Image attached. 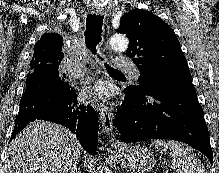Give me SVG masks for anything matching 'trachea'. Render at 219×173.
I'll return each instance as SVG.
<instances>
[{
    "instance_id": "3493384b",
    "label": "trachea",
    "mask_w": 219,
    "mask_h": 173,
    "mask_svg": "<svg viewBox=\"0 0 219 173\" xmlns=\"http://www.w3.org/2000/svg\"><path fill=\"white\" fill-rule=\"evenodd\" d=\"M103 16L100 15H92L89 14L86 18V30L84 32L85 36V44L87 48L94 54L97 55L101 60V58L97 54V46L102 40L101 34H102V26H103ZM104 66L109 74H117V75H123L122 72L113 69L110 67L107 63H104Z\"/></svg>"
}]
</instances>
